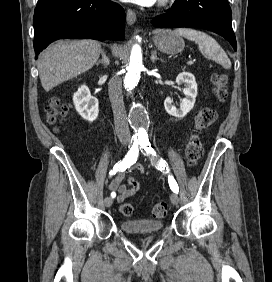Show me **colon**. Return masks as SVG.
Wrapping results in <instances>:
<instances>
[{"mask_svg":"<svg viewBox=\"0 0 272 282\" xmlns=\"http://www.w3.org/2000/svg\"><path fill=\"white\" fill-rule=\"evenodd\" d=\"M226 76L223 73L215 74L213 78L215 94L219 100H223L226 96ZM68 110L67 105L60 103L58 99H54L48 110V116L52 123H58ZM217 114L210 108H203L198 111L195 117L194 129L196 132L210 126L216 119ZM203 147L201 140L197 134H193L186 145L185 155L189 166H195L201 159ZM135 178H130L129 183L135 182ZM120 211L125 216H131L134 213V207L131 203L123 201L120 205ZM167 213V204L158 202L153 206L152 215L155 218H163Z\"/></svg>","mask_w":272,"mask_h":282,"instance_id":"obj_1","label":"colon"}]
</instances>
